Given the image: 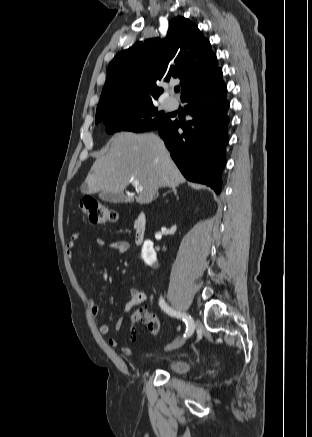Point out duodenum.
<instances>
[{
  "instance_id": "obj_1",
  "label": "duodenum",
  "mask_w": 312,
  "mask_h": 437,
  "mask_svg": "<svg viewBox=\"0 0 312 437\" xmlns=\"http://www.w3.org/2000/svg\"><path fill=\"white\" fill-rule=\"evenodd\" d=\"M147 232V215L144 212L139 213L134 220V237L137 245H142L146 238Z\"/></svg>"
}]
</instances>
